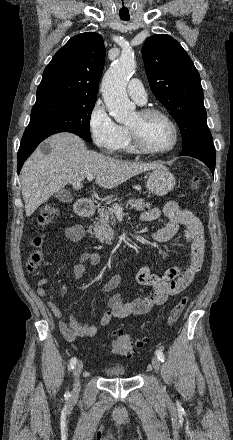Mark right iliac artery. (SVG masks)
<instances>
[{
  "instance_id": "1",
  "label": "right iliac artery",
  "mask_w": 233,
  "mask_h": 440,
  "mask_svg": "<svg viewBox=\"0 0 233 440\" xmlns=\"http://www.w3.org/2000/svg\"><path fill=\"white\" fill-rule=\"evenodd\" d=\"M76 362H77V358H76V357H73V358L70 360V363H69V365H68V370L73 369L74 366L76 365ZM64 396H65V398L68 399L69 396H70L69 392H66V394H65Z\"/></svg>"
}]
</instances>
